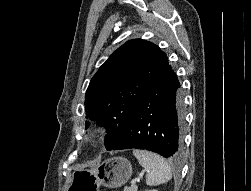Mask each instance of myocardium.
Here are the masks:
<instances>
[{"mask_svg":"<svg viewBox=\"0 0 251 191\" xmlns=\"http://www.w3.org/2000/svg\"><path fill=\"white\" fill-rule=\"evenodd\" d=\"M83 140L93 148L103 145L105 140V132L100 128H91L84 132Z\"/></svg>","mask_w":251,"mask_h":191,"instance_id":"myocardium-1","label":"myocardium"}]
</instances>
